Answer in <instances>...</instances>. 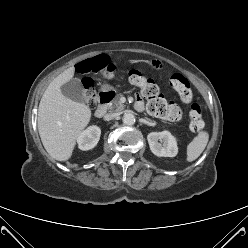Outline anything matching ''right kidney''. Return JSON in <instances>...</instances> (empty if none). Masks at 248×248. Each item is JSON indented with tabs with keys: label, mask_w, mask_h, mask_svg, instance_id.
<instances>
[{
	"label": "right kidney",
	"mask_w": 248,
	"mask_h": 248,
	"mask_svg": "<svg viewBox=\"0 0 248 248\" xmlns=\"http://www.w3.org/2000/svg\"><path fill=\"white\" fill-rule=\"evenodd\" d=\"M101 135V130L97 126H90L84 130L78 137V147L81 150H90L94 148Z\"/></svg>",
	"instance_id": "1"
}]
</instances>
